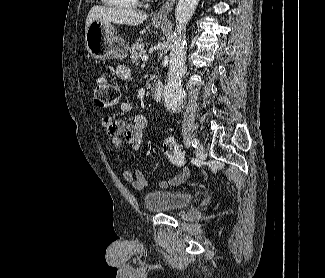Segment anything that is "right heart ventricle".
Wrapping results in <instances>:
<instances>
[{
	"mask_svg": "<svg viewBox=\"0 0 325 278\" xmlns=\"http://www.w3.org/2000/svg\"><path fill=\"white\" fill-rule=\"evenodd\" d=\"M104 5L118 8V9H131L138 5V0H101Z\"/></svg>",
	"mask_w": 325,
	"mask_h": 278,
	"instance_id": "e07e8e85",
	"label": "right heart ventricle"
}]
</instances>
